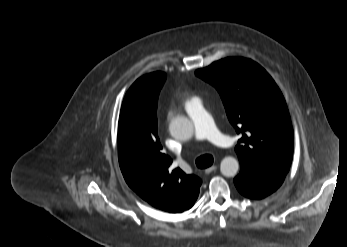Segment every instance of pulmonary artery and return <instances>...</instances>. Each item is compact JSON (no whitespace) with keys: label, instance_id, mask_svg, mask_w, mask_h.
Instances as JSON below:
<instances>
[{"label":"pulmonary artery","instance_id":"pulmonary-artery-1","mask_svg":"<svg viewBox=\"0 0 347 247\" xmlns=\"http://www.w3.org/2000/svg\"><path fill=\"white\" fill-rule=\"evenodd\" d=\"M186 112L194 123L195 138L210 140L218 146L228 147L232 144L229 137L222 134L216 127L212 117L206 111L201 99L194 97L185 105Z\"/></svg>","mask_w":347,"mask_h":247}]
</instances>
